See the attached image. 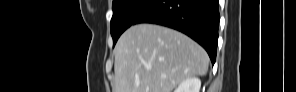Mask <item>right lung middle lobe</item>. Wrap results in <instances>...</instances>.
Segmentation results:
<instances>
[{"label": "right lung middle lobe", "instance_id": "right-lung-middle-lobe-1", "mask_svg": "<svg viewBox=\"0 0 296 92\" xmlns=\"http://www.w3.org/2000/svg\"><path fill=\"white\" fill-rule=\"evenodd\" d=\"M156 0H113L110 23L113 46L120 35Z\"/></svg>", "mask_w": 296, "mask_h": 92}]
</instances>
